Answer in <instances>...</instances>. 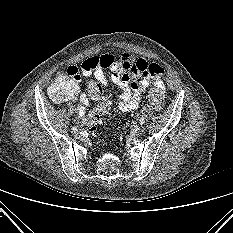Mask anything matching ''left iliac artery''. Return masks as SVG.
I'll use <instances>...</instances> for the list:
<instances>
[{
    "mask_svg": "<svg viewBox=\"0 0 233 233\" xmlns=\"http://www.w3.org/2000/svg\"><path fill=\"white\" fill-rule=\"evenodd\" d=\"M139 122H140V124H144V123H145V119H144V118H141V119L139 120Z\"/></svg>",
    "mask_w": 233,
    "mask_h": 233,
    "instance_id": "44dca946",
    "label": "left iliac artery"
}]
</instances>
